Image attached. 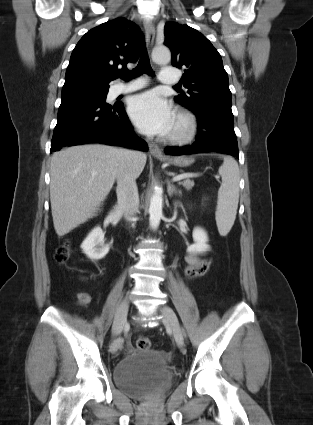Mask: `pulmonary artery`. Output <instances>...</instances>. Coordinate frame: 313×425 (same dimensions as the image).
Listing matches in <instances>:
<instances>
[{"instance_id":"1","label":"pulmonary artery","mask_w":313,"mask_h":425,"mask_svg":"<svg viewBox=\"0 0 313 425\" xmlns=\"http://www.w3.org/2000/svg\"><path fill=\"white\" fill-rule=\"evenodd\" d=\"M178 81V74L174 68H162L159 73V82L162 84H175ZM146 83L143 80H134L125 84H116L112 87L114 95L128 93L144 87Z\"/></svg>"}]
</instances>
